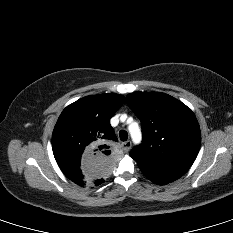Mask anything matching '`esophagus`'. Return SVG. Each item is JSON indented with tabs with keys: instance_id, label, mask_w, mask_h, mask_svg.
Wrapping results in <instances>:
<instances>
[{
	"instance_id": "esophagus-1",
	"label": "esophagus",
	"mask_w": 233,
	"mask_h": 233,
	"mask_svg": "<svg viewBox=\"0 0 233 233\" xmlns=\"http://www.w3.org/2000/svg\"><path fill=\"white\" fill-rule=\"evenodd\" d=\"M132 146L131 141H126L122 143V148L125 152H128Z\"/></svg>"
}]
</instances>
